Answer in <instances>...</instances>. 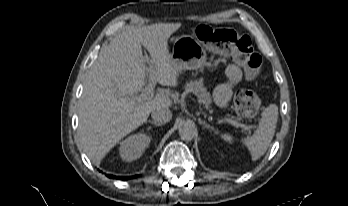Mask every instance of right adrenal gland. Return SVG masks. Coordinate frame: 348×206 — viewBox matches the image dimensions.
Returning a JSON list of instances; mask_svg holds the SVG:
<instances>
[{
    "instance_id": "2a0ac1e0",
    "label": "right adrenal gland",
    "mask_w": 348,
    "mask_h": 206,
    "mask_svg": "<svg viewBox=\"0 0 348 206\" xmlns=\"http://www.w3.org/2000/svg\"><path fill=\"white\" fill-rule=\"evenodd\" d=\"M149 123L155 125V126H161L162 124L160 123H157L156 121H153V120H148Z\"/></svg>"
}]
</instances>
